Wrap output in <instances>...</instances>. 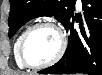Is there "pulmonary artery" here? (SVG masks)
<instances>
[{
	"label": "pulmonary artery",
	"instance_id": "obj_1",
	"mask_svg": "<svg viewBox=\"0 0 102 75\" xmlns=\"http://www.w3.org/2000/svg\"><path fill=\"white\" fill-rule=\"evenodd\" d=\"M81 5V0H77V6Z\"/></svg>",
	"mask_w": 102,
	"mask_h": 75
}]
</instances>
